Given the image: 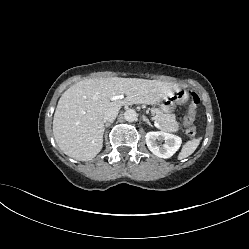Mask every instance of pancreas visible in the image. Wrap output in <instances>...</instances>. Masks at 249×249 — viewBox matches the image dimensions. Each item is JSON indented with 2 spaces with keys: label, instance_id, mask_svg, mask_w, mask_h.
<instances>
[{
  "label": "pancreas",
  "instance_id": "1",
  "mask_svg": "<svg viewBox=\"0 0 249 249\" xmlns=\"http://www.w3.org/2000/svg\"><path fill=\"white\" fill-rule=\"evenodd\" d=\"M152 119L161 126L165 132H178L179 123L176 121L174 114H165L158 108H152Z\"/></svg>",
  "mask_w": 249,
  "mask_h": 249
}]
</instances>
